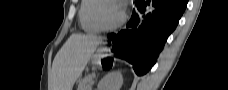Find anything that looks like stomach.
<instances>
[{
    "label": "stomach",
    "instance_id": "0dacf381",
    "mask_svg": "<svg viewBox=\"0 0 228 90\" xmlns=\"http://www.w3.org/2000/svg\"><path fill=\"white\" fill-rule=\"evenodd\" d=\"M103 54H104V50L103 48H101L100 50H98L97 54L93 56L92 63L96 66L108 64L110 61L108 59H103L102 58Z\"/></svg>",
    "mask_w": 228,
    "mask_h": 90
}]
</instances>
